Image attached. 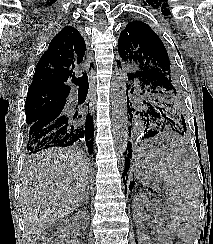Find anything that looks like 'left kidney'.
I'll list each match as a JSON object with an SVG mask.
<instances>
[{
    "label": "left kidney",
    "mask_w": 213,
    "mask_h": 244,
    "mask_svg": "<svg viewBox=\"0 0 213 244\" xmlns=\"http://www.w3.org/2000/svg\"><path fill=\"white\" fill-rule=\"evenodd\" d=\"M132 208L137 228L140 230V244H172L170 231L165 223L164 211L157 200L150 195L140 194L134 198ZM145 209L149 210L154 216L156 237L153 239L149 237L145 230Z\"/></svg>",
    "instance_id": "obj_1"
}]
</instances>
